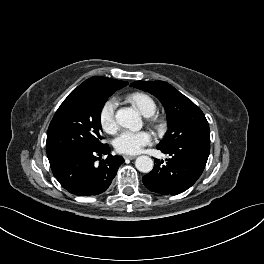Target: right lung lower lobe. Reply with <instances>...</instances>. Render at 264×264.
I'll return each instance as SVG.
<instances>
[{
  "label": "right lung lower lobe",
  "mask_w": 264,
  "mask_h": 264,
  "mask_svg": "<svg viewBox=\"0 0 264 264\" xmlns=\"http://www.w3.org/2000/svg\"><path fill=\"white\" fill-rule=\"evenodd\" d=\"M107 144L100 148L74 147L48 157L58 182L70 193L91 196L103 193L111 184L121 156H112ZM102 155H108L102 159Z\"/></svg>",
  "instance_id": "1"
}]
</instances>
